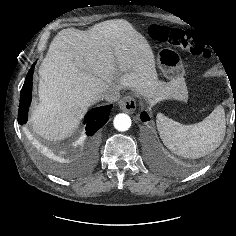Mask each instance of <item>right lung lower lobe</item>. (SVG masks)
I'll use <instances>...</instances> for the list:
<instances>
[{
	"label": "right lung lower lobe",
	"instance_id": "98d812e1",
	"mask_svg": "<svg viewBox=\"0 0 236 236\" xmlns=\"http://www.w3.org/2000/svg\"><path fill=\"white\" fill-rule=\"evenodd\" d=\"M34 66L35 63L29 70L21 90L18 111L19 124H25L27 122L28 110L31 103ZM111 108L112 105L97 107L86 114L84 118L85 136L83 137V145L85 148L92 149L95 145V133L108 121Z\"/></svg>",
	"mask_w": 236,
	"mask_h": 236
}]
</instances>
